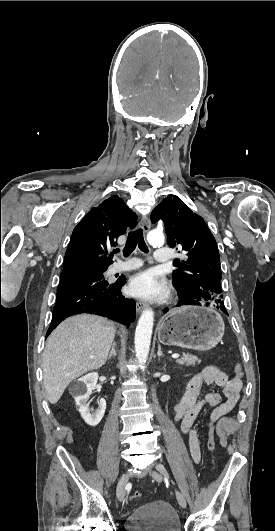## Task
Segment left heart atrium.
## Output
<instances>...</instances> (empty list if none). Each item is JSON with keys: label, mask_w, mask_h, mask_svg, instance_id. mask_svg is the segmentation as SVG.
<instances>
[{"label": "left heart atrium", "mask_w": 275, "mask_h": 531, "mask_svg": "<svg viewBox=\"0 0 275 531\" xmlns=\"http://www.w3.org/2000/svg\"><path fill=\"white\" fill-rule=\"evenodd\" d=\"M163 279L154 270H144L133 275L129 282L130 292L137 297L149 298L160 294Z\"/></svg>", "instance_id": "obj_1"}]
</instances>
